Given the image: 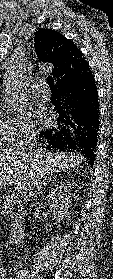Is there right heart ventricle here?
Listing matches in <instances>:
<instances>
[{
    "mask_svg": "<svg viewBox=\"0 0 113 279\" xmlns=\"http://www.w3.org/2000/svg\"><path fill=\"white\" fill-rule=\"evenodd\" d=\"M10 142L11 138L8 129V117L0 112V146L9 144Z\"/></svg>",
    "mask_w": 113,
    "mask_h": 279,
    "instance_id": "right-heart-ventricle-1",
    "label": "right heart ventricle"
}]
</instances>
